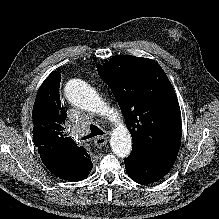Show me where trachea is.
I'll use <instances>...</instances> for the list:
<instances>
[{
  "instance_id": "3493384b",
  "label": "trachea",
  "mask_w": 219,
  "mask_h": 219,
  "mask_svg": "<svg viewBox=\"0 0 219 219\" xmlns=\"http://www.w3.org/2000/svg\"><path fill=\"white\" fill-rule=\"evenodd\" d=\"M105 134L103 130H101L99 127L96 125H91L90 126V133L84 137V139H88L97 135H103Z\"/></svg>"
}]
</instances>
